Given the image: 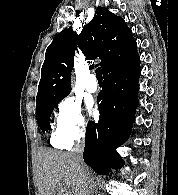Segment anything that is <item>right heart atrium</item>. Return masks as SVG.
Returning a JSON list of instances; mask_svg holds the SVG:
<instances>
[{"mask_svg": "<svg viewBox=\"0 0 178 195\" xmlns=\"http://www.w3.org/2000/svg\"><path fill=\"white\" fill-rule=\"evenodd\" d=\"M86 121L82 105L73 96H67L60 101L55 114L54 143L66 147L84 138Z\"/></svg>", "mask_w": 178, "mask_h": 195, "instance_id": "right-heart-atrium-1", "label": "right heart atrium"}]
</instances>
